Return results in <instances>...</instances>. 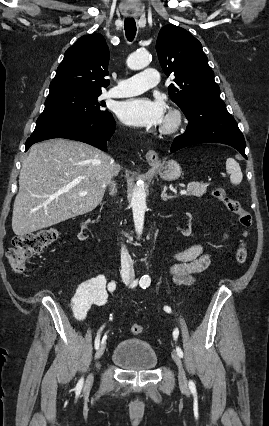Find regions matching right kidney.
I'll return each instance as SVG.
<instances>
[{
	"instance_id": "right-kidney-1",
	"label": "right kidney",
	"mask_w": 269,
	"mask_h": 426,
	"mask_svg": "<svg viewBox=\"0 0 269 426\" xmlns=\"http://www.w3.org/2000/svg\"><path fill=\"white\" fill-rule=\"evenodd\" d=\"M89 223L90 220L81 223V232L77 236L80 241H84L88 238V236L83 235L82 230L85 229ZM97 279L102 280L103 276L98 275ZM107 293L108 288L105 281L92 280L82 283L72 299L73 309L75 311H81L83 316H85L90 306L99 308L105 305V302L109 299Z\"/></svg>"
}]
</instances>
